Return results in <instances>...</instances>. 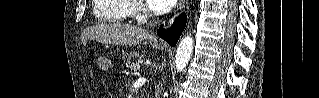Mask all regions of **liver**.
Segmentation results:
<instances>
[{
    "instance_id": "liver-1",
    "label": "liver",
    "mask_w": 319,
    "mask_h": 98,
    "mask_svg": "<svg viewBox=\"0 0 319 98\" xmlns=\"http://www.w3.org/2000/svg\"><path fill=\"white\" fill-rule=\"evenodd\" d=\"M85 40L90 39L103 44L136 45L148 42L156 49L162 48L156 37L141 27L122 24H101L87 28L83 32Z\"/></svg>"
}]
</instances>
